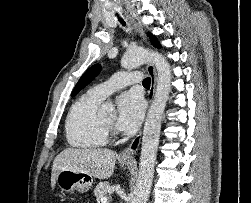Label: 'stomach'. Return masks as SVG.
Here are the masks:
<instances>
[{
  "mask_svg": "<svg viewBox=\"0 0 251 203\" xmlns=\"http://www.w3.org/2000/svg\"><path fill=\"white\" fill-rule=\"evenodd\" d=\"M123 165H130L131 161H120ZM56 183L62 192L80 193L87 192L93 184V177L84 172H74L71 170H62L59 172Z\"/></svg>",
  "mask_w": 251,
  "mask_h": 203,
  "instance_id": "1",
  "label": "stomach"
}]
</instances>
